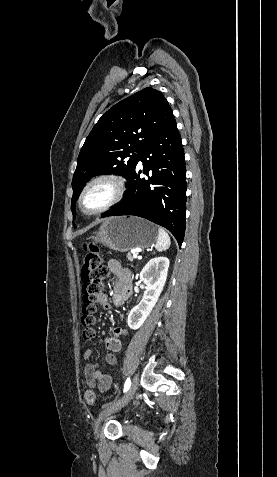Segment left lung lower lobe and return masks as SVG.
Returning <instances> with one entry per match:
<instances>
[{
    "mask_svg": "<svg viewBox=\"0 0 277 477\" xmlns=\"http://www.w3.org/2000/svg\"><path fill=\"white\" fill-rule=\"evenodd\" d=\"M127 183L126 200L101 217L135 215L167 228L181 246L185 234L186 167L181 137L173 117L141 150ZM150 171V174H149ZM144 173L148 179L140 178Z\"/></svg>",
    "mask_w": 277,
    "mask_h": 477,
    "instance_id": "1",
    "label": "left lung lower lobe"
}]
</instances>
